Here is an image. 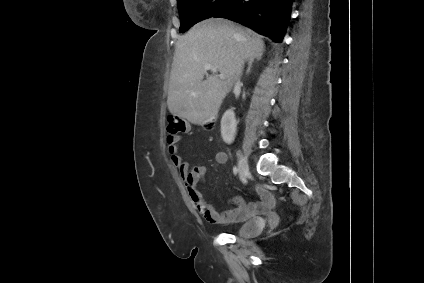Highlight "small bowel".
Here are the masks:
<instances>
[{"mask_svg":"<svg viewBox=\"0 0 424 283\" xmlns=\"http://www.w3.org/2000/svg\"><path fill=\"white\" fill-rule=\"evenodd\" d=\"M182 137L180 135H169L167 137L168 150L171 154V159L179 170V174L184 181L185 189L187 191L190 202L197 210L201 217H203L210 224H233L245 220L257 211L268 208L272 202L273 197L271 193L262 186L257 187L258 194L261 197L260 202L248 203L241 197H234L232 203L234 208L224 212H217L202 196L198 190V184L204 182L207 173V168L202 165L190 166L180 154V142ZM218 164H225L228 161L226 152H218L215 156Z\"/></svg>","mask_w":424,"mask_h":283,"instance_id":"obj_1","label":"small bowel"}]
</instances>
